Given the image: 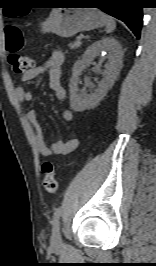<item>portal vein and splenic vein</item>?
I'll return each mask as SVG.
<instances>
[{"instance_id":"portal-vein-and-splenic-vein-1","label":"portal vein and splenic vein","mask_w":156,"mask_h":266,"mask_svg":"<svg viewBox=\"0 0 156 266\" xmlns=\"http://www.w3.org/2000/svg\"><path fill=\"white\" fill-rule=\"evenodd\" d=\"M82 39V36H78L77 40L80 41Z\"/></svg>"}]
</instances>
